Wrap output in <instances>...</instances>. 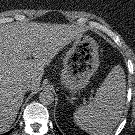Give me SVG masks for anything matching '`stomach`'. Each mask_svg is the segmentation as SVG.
<instances>
[{"label":"stomach","instance_id":"0dacf381","mask_svg":"<svg viewBox=\"0 0 135 135\" xmlns=\"http://www.w3.org/2000/svg\"><path fill=\"white\" fill-rule=\"evenodd\" d=\"M99 66L100 55L95 40L81 36L65 55L59 83L74 96L87 87Z\"/></svg>","mask_w":135,"mask_h":135}]
</instances>
